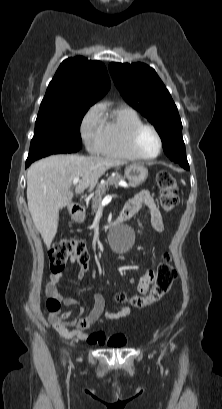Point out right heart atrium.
Masks as SVG:
<instances>
[{
	"label": "right heart atrium",
	"instance_id": "1",
	"mask_svg": "<svg viewBox=\"0 0 222 409\" xmlns=\"http://www.w3.org/2000/svg\"><path fill=\"white\" fill-rule=\"evenodd\" d=\"M80 134L86 148L90 152H98L103 134V118L99 104L93 105L84 114L80 123Z\"/></svg>",
	"mask_w": 222,
	"mask_h": 409
}]
</instances>
